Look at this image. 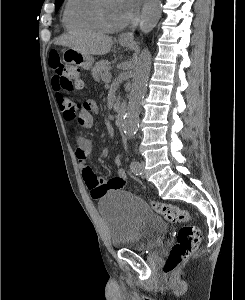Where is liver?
<instances>
[{
    "label": "liver",
    "instance_id": "6515ba94",
    "mask_svg": "<svg viewBox=\"0 0 245 300\" xmlns=\"http://www.w3.org/2000/svg\"><path fill=\"white\" fill-rule=\"evenodd\" d=\"M56 44L75 49L88 55H105L113 46L111 37L97 34H67L61 36Z\"/></svg>",
    "mask_w": 245,
    "mask_h": 300
}]
</instances>
